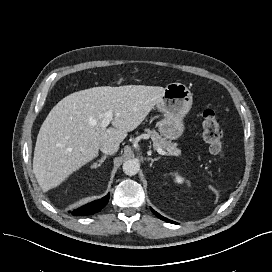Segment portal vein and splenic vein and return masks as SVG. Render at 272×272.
Wrapping results in <instances>:
<instances>
[{
    "label": "portal vein and splenic vein",
    "instance_id": "obj_1",
    "mask_svg": "<svg viewBox=\"0 0 272 272\" xmlns=\"http://www.w3.org/2000/svg\"><path fill=\"white\" fill-rule=\"evenodd\" d=\"M112 120H113V113H112V111H107L104 114V118H103V120L101 122V126L104 127V128H106L110 124V122ZM156 150L161 155H168V153L166 151H164L163 149H161V148H157Z\"/></svg>",
    "mask_w": 272,
    "mask_h": 272
}]
</instances>
